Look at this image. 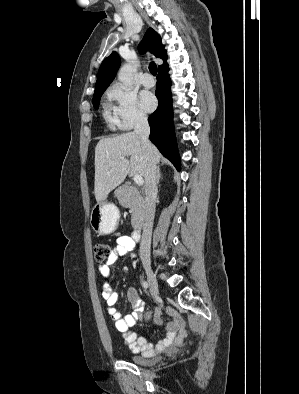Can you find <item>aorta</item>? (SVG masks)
<instances>
[{"label": "aorta", "mask_w": 299, "mask_h": 394, "mask_svg": "<svg viewBox=\"0 0 299 394\" xmlns=\"http://www.w3.org/2000/svg\"><path fill=\"white\" fill-rule=\"evenodd\" d=\"M136 69L131 64L123 65L118 73V80L125 86L131 87Z\"/></svg>", "instance_id": "obj_1"}]
</instances>
